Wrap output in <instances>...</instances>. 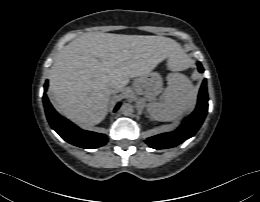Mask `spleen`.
<instances>
[{"label": "spleen", "mask_w": 260, "mask_h": 202, "mask_svg": "<svg viewBox=\"0 0 260 202\" xmlns=\"http://www.w3.org/2000/svg\"><path fill=\"white\" fill-rule=\"evenodd\" d=\"M168 85L161 99L148 104L150 116L158 121L179 118L196 100L197 92L191 81L183 74L168 75Z\"/></svg>", "instance_id": "3e777b00"}]
</instances>
